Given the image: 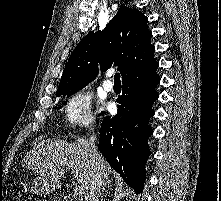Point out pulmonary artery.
I'll use <instances>...</instances> for the list:
<instances>
[{"mask_svg":"<svg viewBox=\"0 0 221 201\" xmlns=\"http://www.w3.org/2000/svg\"><path fill=\"white\" fill-rule=\"evenodd\" d=\"M108 76H111V74H108ZM103 88L106 91H112L113 90V83L107 79L103 82Z\"/></svg>","mask_w":221,"mask_h":201,"instance_id":"e3ab8cb5","label":"pulmonary artery"}]
</instances>
